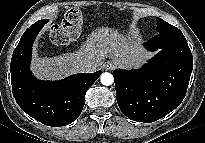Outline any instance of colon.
I'll list each match as a JSON object with an SVG mask.
<instances>
[{"instance_id": "obj_1", "label": "colon", "mask_w": 205, "mask_h": 143, "mask_svg": "<svg viewBox=\"0 0 205 143\" xmlns=\"http://www.w3.org/2000/svg\"><path fill=\"white\" fill-rule=\"evenodd\" d=\"M82 27V13L73 8L66 12L61 24L52 25L49 36L55 44L65 45L78 39Z\"/></svg>"}]
</instances>
